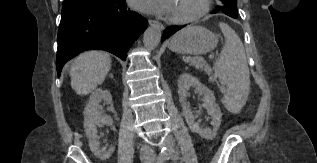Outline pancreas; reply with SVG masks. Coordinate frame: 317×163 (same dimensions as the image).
Returning a JSON list of instances; mask_svg holds the SVG:
<instances>
[{
	"label": "pancreas",
	"instance_id": "1",
	"mask_svg": "<svg viewBox=\"0 0 317 163\" xmlns=\"http://www.w3.org/2000/svg\"><path fill=\"white\" fill-rule=\"evenodd\" d=\"M193 60H195V59H193ZM192 64L196 68L204 69L205 71H207L208 74L211 73V69L208 67V65L200 59H196L195 62H192ZM210 80H213V76L210 77Z\"/></svg>",
	"mask_w": 317,
	"mask_h": 163
}]
</instances>
